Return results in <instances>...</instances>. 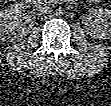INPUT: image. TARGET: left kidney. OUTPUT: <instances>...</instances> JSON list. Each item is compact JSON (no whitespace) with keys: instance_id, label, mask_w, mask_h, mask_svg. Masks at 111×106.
Here are the masks:
<instances>
[{"instance_id":"left-kidney-1","label":"left kidney","mask_w":111,"mask_h":106,"mask_svg":"<svg viewBox=\"0 0 111 106\" xmlns=\"http://www.w3.org/2000/svg\"><path fill=\"white\" fill-rule=\"evenodd\" d=\"M86 31L93 38L106 39L111 37V10L99 9L97 18L87 25Z\"/></svg>"}]
</instances>
